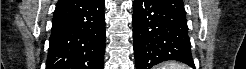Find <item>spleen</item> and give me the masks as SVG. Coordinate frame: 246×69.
<instances>
[{
    "label": "spleen",
    "mask_w": 246,
    "mask_h": 69,
    "mask_svg": "<svg viewBox=\"0 0 246 69\" xmlns=\"http://www.w3.org/2000/svg\"><path fill=\"white\" fill-rule=\"evenodd\" d=\"M157 69H188V67L182 63L170 61L158 66Z\"/></svg>",
    "instance_id": "1"
}]
</instances>
